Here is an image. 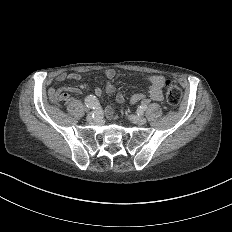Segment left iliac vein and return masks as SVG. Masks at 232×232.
Wrapping results in <instances>:
<instances>
[{"label":"left iliac vein","instance_id":"left-iliac-vein-1","mask_svg":"<svg viewBox=\"0 0 232 232\" xmlns=\"http://www.w3.org/2000/svg\"><path fill=\"white\" fill-rule=\"evenodd\" d=\"M129 118L131 119V122H130V123H132V124H134V125L139 124L140 126H143L144 123L146 122V120H145L144 118L140 117V116L137 115V114H131V117H130V115H129L128 119H129Z\"/></svg>","mask_w":232,"mask_h":232}]
</instances>
